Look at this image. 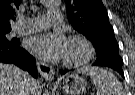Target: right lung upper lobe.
I'll use <instances>...</instances> for the list:
<instances>
[{
  "mask_svg": "<svg viewBox=\"0 0 135 95\" xmlns=\"http://www.w3.org/2000/svg\"><path fill=\"white\" fill-rule=\"evenodd\" d=\"M20 0H0V30H11L9 20L19 9Z\"/></svg>",
  "mask_w": 135,
  "mask_h": 95,
  "instance_id": "cb5924a9",
  "label": "right lung upper lobe"
}]
</instances>
